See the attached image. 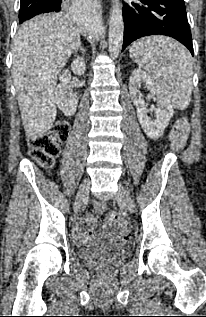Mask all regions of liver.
<instances>
[{"instance_id":"liver-1","label":"liver","mask_w":206,"mask_h":317,"mask_svg":"<svg viewBox=\"0 0 206 317\" xmlns=\"http://www.w3.org/2000/svg\"><path fill=\"white\" fill-rule=\"evenodd\" d=\"M80 43V32L68 15H40L19 27L12 75L28 138H39L52 128L57 76Z\"/></svg>"}]
</instances>
